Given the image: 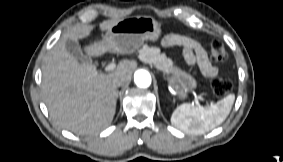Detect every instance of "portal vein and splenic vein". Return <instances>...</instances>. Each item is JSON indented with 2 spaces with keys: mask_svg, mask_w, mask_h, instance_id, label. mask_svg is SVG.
<instances>
[{
  "mask_svg": "<svg viewBox=\"0 0 283 162\" xmlns=\"http://www.w3.org/2000/svg\"><path fill=\"white\" fill-rule=\"evenodd\" d=\"M116 68V64L115 63H110L105 67V71L109 72V71H113ZM198 100H202L204 101L203 98L199 97V96H195V104L201 108L199 101Z\"/></svg>",
  "mask_w": 283,
  "mask_h": 162,
  "instance_id": "1",
  "label": "portal vein and splenic vein"
}]
</instances>
